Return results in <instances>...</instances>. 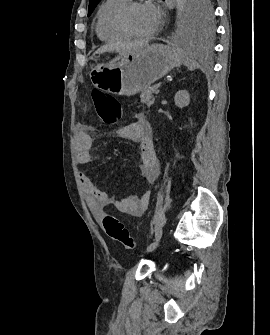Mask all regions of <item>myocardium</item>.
<instances>
[{"mask_svg": "<svg viewBox=\"0 0 270 335\" xmlns=\"http://www.w3.org/2000/svg\"><path fill=\"white\" fill-rule=\"evenodd\" d=\"M136 7H139L138 2L129 3L119 10L116 16V25L118 30L127 37L130 38H142L143 35L134 34L128 27L127 18L129 13Z\"/></svg>", "mask_w": 270, "mask_h": 335, "instance_id": "1", "label": "myocardium"}]
</instances>
